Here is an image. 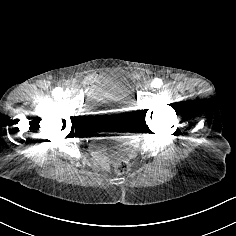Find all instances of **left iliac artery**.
<instances>
[{
  "label": "left iliac artery",
  "instance_id": "left-iliac-artery-1",
  "mask_svg": "<svg viewBox=\"0 0 236 236\" xmlns=\"http://www.w3.org/2000/svg\"><path fill=\"white\" fill-rule=\"evenodd\" d=\"M162 85H163V82L159 78H155L151 83V86L155 88H160Z\"/></svg>",
  "mask_w": 236,
  "mask_h": 236
}]
</instances>
